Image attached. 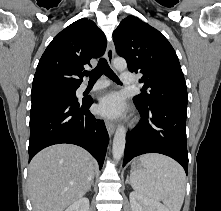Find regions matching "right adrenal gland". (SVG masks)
<instances>
[{"mask_svg":"<svg viewBox=\"0 0 221 211\" xmlns=\"http://www.w3.org/2000/svg\"><path fill=\"white\" fill-rule=\"evenodd\" d=\"M91 186H94V176H93V178H92V181H91V185H90V187H89V190H91Z\"/></svg>","mask_w":221,"mask_h":211,"instance_id":"1","label":"right adrenal gland"}]
</instances>
